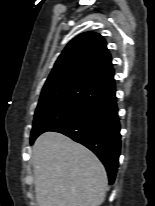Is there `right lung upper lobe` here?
Instances as JSON below:
<instances>
[{
  "label": "right lung upper lobe",
  "instance_id": "1",
  "mask_svg": "<svg viewBox=\"0 0 155 206\" xmlns=\"http://www.w3.org/2000/svg\"><path fill=\"white\" fill-rule=\"evenodd\" d=\"M85 86L108 94L115 90L111 55L103 37L85 32L68 43L42 91Z\"/></svg>",
  "mask_w": 155,
  "mask_h": 206
}]
</instances>
